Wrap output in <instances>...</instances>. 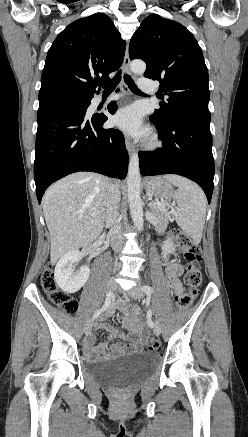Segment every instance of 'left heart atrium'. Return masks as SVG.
<instances>
[{
	"instance_id": "39dd6f15",
	"label": "left heart atrium",
	"mask_w": 248,
	"mask_h": 437,
	"mask_svg": "<svg viewBox=\"0 0 248 437\" xmlns=\"http://www.w3.org/2000/svg\"><path fill=\"white\" fill-rule=\"evenodd\" d=\"M113 123L123 131L134 135L147 133L142 123L141 112L136 106H129L118 111L113 118Z\"/></svg>"
}]
</instances>
